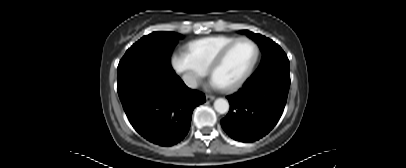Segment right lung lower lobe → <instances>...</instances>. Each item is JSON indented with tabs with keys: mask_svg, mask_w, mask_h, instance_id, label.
Returning <instances> with one entry per match:
<instances>
[{
	"mask_svg": "<svg viewBox=\"0 0 406 168\" xmlns=\"http://www.w3.org/2000/svg\"><path fill=\"white\" fill-rule=\"evenodd\" d=\"M118 94L133 128L161 146L180 142L189 131L193 109L206 101L176 74L128 85Z\"/></svg>",
	"mask_w": 406,
	"mask_h": 168,
	"instance_id": "obj_1",
	"label": "right lung lower lobe"
}]
</instances>
